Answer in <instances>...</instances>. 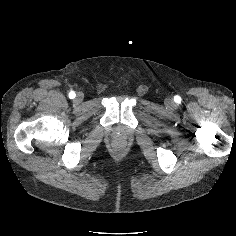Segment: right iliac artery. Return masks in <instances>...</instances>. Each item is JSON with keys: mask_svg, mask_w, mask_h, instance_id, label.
<instances>
[{"mask_svg": "<svg viewBox=\"0 0 236 236\" xmlns=\"http://www.w3.org/2000/svg\"><path fill=\"white\" fill-rule=\"evenodd\" d=\"M75 96H76L75 92L71 91L69 93V98L73 99V98H75Z\"/></svg>", "mask_w": 236, "mask_h": 236, "instance_id": "obj_1", "label": "right iliac artery"}]
</instances>
